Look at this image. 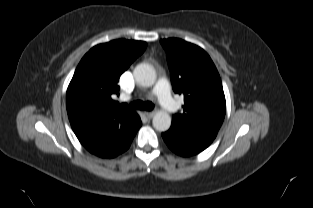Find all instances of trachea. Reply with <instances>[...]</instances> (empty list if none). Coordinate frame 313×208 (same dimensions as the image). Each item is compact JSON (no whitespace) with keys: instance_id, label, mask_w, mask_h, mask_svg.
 <instances>
[{"instance_id":"1","label":"trachea","mask_w":313,"mask_h":208,"mask_svg":"<svg viewBox=\"0 0 313 208\" xmlns=\"http://www.w3.org/2000/svg\"><path fill=\"white\" fill-rule=\"evenodd\" d=\"M130 107L137 109V110H146V111H152L154 109V105L152 102H142V101H134L130 103Z\"/></svg>"}]
</instances>
